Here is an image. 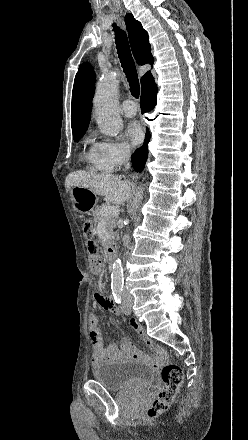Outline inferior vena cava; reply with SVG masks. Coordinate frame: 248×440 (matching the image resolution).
Here are the masks:
<instances>
[{"label":"inferior vena cava","instance_id":"602c4592","mask_svg":"<svg viewBox=\"0 0 248 440\" xmlns=\"http://www.w3.org/2000/svg\"><path fill=\"white\" fill-rule=\"evenodd\" d=\"M122 160H123V164H124L125 168L129 169L130 163H129V152L128 151H124V153L122 155ZM128 240H129V236L128 235H124V237H123L124 245L128 242ZM126 296L130 297L129 294H126Z\"/></svg>","mask_w":248,"mask_h":440}]
</instances>
